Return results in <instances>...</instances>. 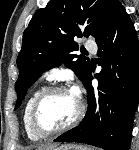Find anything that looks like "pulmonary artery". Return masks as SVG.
Wrapping results in <instances>:
<instances>
[{
  "instance_id": "obj_1",
  "label": "pulmonary artery",
  "mask_w": 139,
  "mask_h": 150,
  "mask_svg": "<svg viewBox=\"0 0 139 150\" xmlns=\"http://www.w3.org/2000/svg\"><path fill=\"white\" fill-rule=\"evenodd\" d=\"M85 48L95 53L97 51V44L93 40H87L85 43Z\"/></svg>"
}]
</instances>
